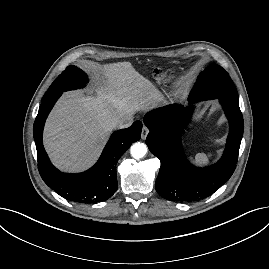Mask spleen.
<instances>
[{
    "mask_svg": "<svg viewBox=\"0 0 269 269\" xmlns=\"http://www.w3.org/2000/svg\"><path fill=\"white\" fill-rule=\"evenodd\" d=\"M213 156V154H205V153H198L194 158H191L194 163L197 165H206L209 163V159Z\"/></svg>",
    "mask_w": 269,
    "mask_h": 269,
    "instance_id": "spleen-1",
    "label": "spleen"
}]
</instances>
